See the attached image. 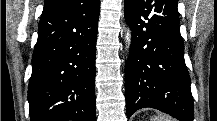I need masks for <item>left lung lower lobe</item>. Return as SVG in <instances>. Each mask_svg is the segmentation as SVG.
I'll list each match as a JSON object with an SVG mask.
<instances>
[{
	"instance_id": "obj_1",
	"label": "left lung lower lobe",
	"mask_w": 217,
	"mask_h": 121,
	"mask_svg": "<svg viewBox=\"0 0 217 121\" xmlns=\"http://www.w3.org/2000/svg\"><path fill=\"white\" fill-rule=\"evenodd\" d=\"M177 0H125L132 44L125 67L127 117L144 107L193 121Z\"/></svg>"
}]
</instances>
